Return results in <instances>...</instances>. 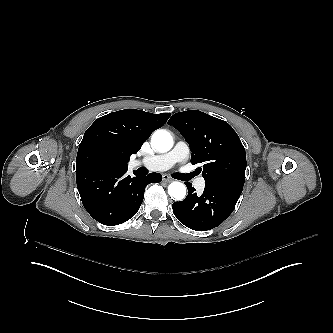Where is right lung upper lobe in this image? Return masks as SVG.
<instances>
[{
    "label": "right lung upper lobe",
    "instance_id": "obj_1",
    "mask_svg": "<svg viewBox=\"0 0 333 333\" xmlns=\"http://www.w3.org/2000/svg\"><path fill=\"white\" fill-rule=\"evenodd\" d=\"M170 115L125 109L98 118L87 129L79 145L76 170L97 168L95 165L99 162L109 168L127 169L130 156L141 148L154 130L166 123Z\"/></svg>",
    "mask_w": 333,
    "mask_h": 333
}]
</instances>
